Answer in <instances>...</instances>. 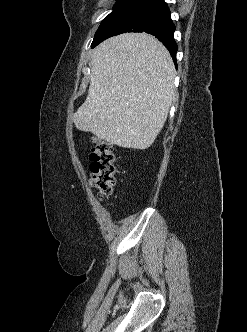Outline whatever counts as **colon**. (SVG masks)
<instances>
[{"instance_id": "obj_1", "label": "colon", "mask_w": 247, "mask_h": 332, "mask_svg": "<svg viewBox=\"0 0 247 332\" xmlns=\"http://www.w3.org/2000/svg\"><path fill=\"white\" fill-rule=\"evenodd\" d=\"M90 155V180L100 198L113 192L117 176V158L112 146L99 138L92 137Z\"/></svg>"}]
</instances>
